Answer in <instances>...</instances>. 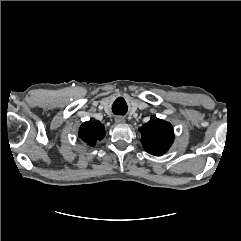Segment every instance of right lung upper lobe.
<instances>
[{
    "mask_svg": "<svg viewBox=\"0 0 241 241\" xmlns=\"http://www.w3.org/2000/svg\"><path fill=\"white\" fill-rule=\"evenodd\" d=\"M106 135L104 126L98 122H85L80 126L79 137L89 146H95L97 140Z\"/></svg>",
    "mask_w": 241,
    "mask_h": 241,
    "instance_id": "cb5924a9",
    "label": "right lung upper lobe"
}]
</instances>
